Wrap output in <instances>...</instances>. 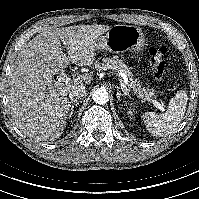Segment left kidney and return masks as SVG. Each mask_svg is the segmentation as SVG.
Wrapping results in <instances>:
<instances>
[{"instance_id": "1", "label": "left kidney", "mask_w": 199, "mask_h": 199, "mask_svg": "<svg viewBox=\"0 0 199 199\" xmlns=\"http://www.w3.org/2000/svg\"><path fill=\"white\" fill-rule=\"evenodd\" d=\"M133 112H134V109H132L131 107L128 108V111H127L128 115L133 116Z\"/></svg>"}]
</instances>
